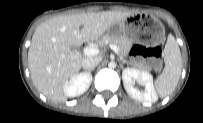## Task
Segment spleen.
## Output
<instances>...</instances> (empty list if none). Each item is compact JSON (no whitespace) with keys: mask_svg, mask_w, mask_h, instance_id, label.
Masks as SVG:
<instances>
[{"mask_svg":"<svg viewBox=\"0 0 203 123\" xmlns=\"http://www.w3.org/2000/svg\"><path fill=\"white\" fill-rule=\"evenodd\" d=\"M164 52L165 67L155 81L156 92L162 98L170 95L175 90L182 70L181 52L173 36H169Z\"/></svg>","mask_w":203,"mask_h":123,"instance_id":"obj_1","label":"spleen"}]
</instances>
